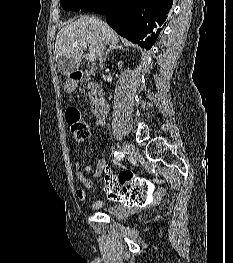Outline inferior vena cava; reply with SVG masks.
<instances>
[{"label": "inferior vena cava", "instance_id": "602c4592", "mask_svg": "<svg viewBox=\"0 0 233 263\" xmlns=\"http://www.w3.org/2000/svg\"><path fill=\"white\" fill-rule=\"evenodd\" d=\"M104 58H103V51L100 53L99 55V61H100V64H101V67H102V62H103Z\"/></svg>", "mask_w": 233, "mask_h": 263}]
</instances>
